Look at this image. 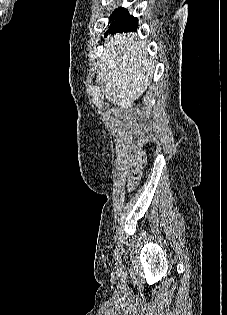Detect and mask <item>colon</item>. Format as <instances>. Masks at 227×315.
<instances>
[{
	"mask_svg": "<svg viewBox=\"0 0 227 315\" xmlns=\"http://www.w3.org/2000/svg\"><path fill=\"white\" fill-rule=\"evenodd\" d=\"M144 161V157L141 158V162ZM140 179V167H136L135 169H133V171L131 172L130 175V181L133 184H136Z\"/></svg>",
	"mask_w": 227,
	"mask_h": 315,
	"instance_id": "5ec220e1",
	"label": "colon"
}]
</instances>
